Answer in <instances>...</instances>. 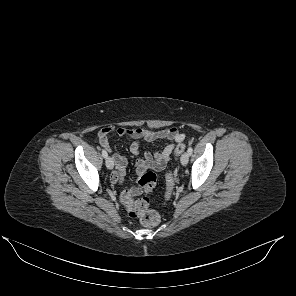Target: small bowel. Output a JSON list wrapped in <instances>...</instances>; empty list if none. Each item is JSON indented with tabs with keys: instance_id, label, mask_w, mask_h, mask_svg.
I'll return each instance as SVG.
<instances>
[{
	"instance_id": "small-bowel-1",
	"label": "small bowel",
	"mask_w": 296,
	"mask_h": 296,
	"mask_svg": "<svg viewBox=\"0 0 296 296\" xmlns=\"http://www.w3.org/2000/svg\"><path fill=\"white\" fill-rule=\"evenodd\" d=\"M112 133L134 139V142L130 146V151L136 156L141 154L142 142L153 143L157 140H168L172 142L157 152L144 151L135 163L138 175H142L147 170H153L156 172L163 170L170 160L175 145L182 142L185 138L184 133L180 132L176 127H170L158 131L143 128L119 127L114 129L111 127H104L99 130L98 138L100 145L108 151H111L109 136ZM112 159L115 163V171L111 175V182L113 184H118L122 182L124 178L128 161L124 156L117 153L113 154ZM128 192L133 197L138 195L141 190L138 187H133L129 189Z\"/></svg>"
}]
</instances>
